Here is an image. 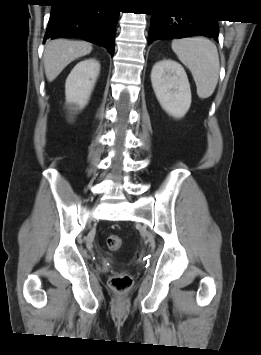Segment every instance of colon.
I'll return each mask as SVG.
<instances>
[{
    "instance_id": "obj_1",
    "label": "colon",
    "mask_w": 261,
    "mask_h": 355,
    "mask_svg": "<svg viewBox=\"0 0 261 355\" xmlns=\"http://www.w3.org/2000/svg\"><path fill=\"white\" fill-rule=\"evenodd\" d=\"M107 247L116 251L122 246V239L119 235L112 234L107 237ZM133 283L132 277L127 273H118L113 275L109 280L110 287L117 292H125L131 288Z\"/></svg>"
}]
</instances>
